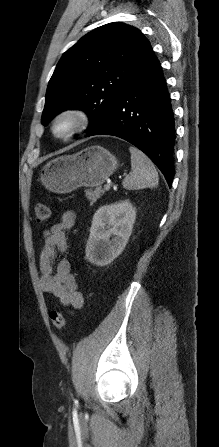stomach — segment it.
<instances>
[{
	"instance_id": "obj_1",
	"label": "stomach",
	"mask_w": 219,
	"mask_h": 447,
	"mask_svg": "<svg viewBox=\"0 0 219 447\" xmlns=\"http://www.w3.org/2000/svg\"><path fill=\"white\" fill-rule=\"evenodd\" d=\"M117 167L118 161L112 153L94 145L49 161L42 168L40 179L49 191L65 194L82 186H100Z\"/></svg>"
}]
</instances>
